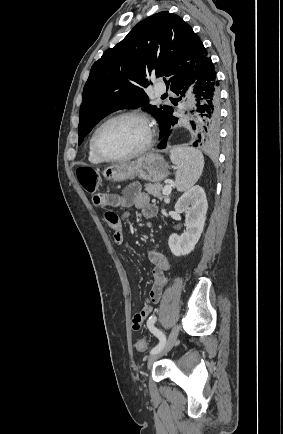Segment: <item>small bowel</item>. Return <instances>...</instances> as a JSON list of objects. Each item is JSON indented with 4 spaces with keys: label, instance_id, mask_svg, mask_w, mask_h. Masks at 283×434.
I'll return each mask as SVG.
<instances>
[{
    "label": "small bowel",
    "instance_id": "1",
    "mask_svg": "<svg viewBox=\"0 0 283 434\" xmlns=\"http://www.w3.org/2000/svg\"><path fill=\"white\" fill-rule=\"evenodd\" d=\"M94 204L99 208L107 207H135L141 211L145 219L153 218L157 213V208L153 205L146 193L142 192L137 184L126 187L120 195L97 192L93 196ZM105 220L113 232V238L117 245H123V219L114 210L105 212ZM148 258L152 264L153 283L149 291L148 298L143 308L135 314L132 320L133 329L138 330L144 321L150 316L153 305L158 303L168 284L166 272L169 269V261L160 252L149 250Z\"/></svg>",
    "mask_w": 283,
    "mask_h": 434
}]
</instances>
